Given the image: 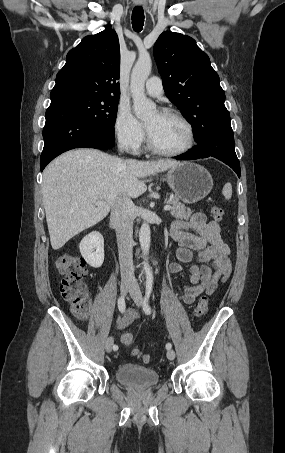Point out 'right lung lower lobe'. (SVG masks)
Returning a JSON list of instances; mask_svg holds the SVG:
<instances>
[{
    "instance_id": "98d812e1",
    "label": "right lung lower lobe",
    "mask_w": 285,
    "mask_h": 453,
    "mask_svg": "<svg viewBox=\"0 0 285 453\" xmlns=\"http://www.w3.org/2000/svg\"><path fill=\"white\" fill-rule=\"evenodd\" d=\"M44 148L40 158V169L61 153L74 148L110 149L114 138L102 133L80 116L72 108L51 102L46 111L43 129Z\"/></svg>"
}]
</instances>
